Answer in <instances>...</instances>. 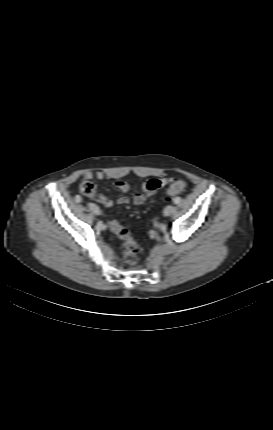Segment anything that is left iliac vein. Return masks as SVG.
Listing matches in <instances>:
<instances>
[{"label": "left iliac vein", "mask_w": 273, "mask_h": 430, "mask_svg": "<svg viewBox=\"0 0 273 430\" xmlns=\"http://www.w3.org/2000/svg\"><path fill=\"white\" fill-rule=\"evenodd\" d=\"M173 211H174L173 206H167V207H165L163 214H164V216H170Z\"/></svg>", "instance_id": "left-iliac-vein-1"}]
</instances>
